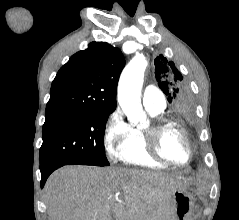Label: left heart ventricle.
<instances>
[{
  "label": "left heart ventricle",
  "instance_id": "b2bd125f",
  "mask_svg": "<svg viewBox=\"0 0 239 220\" xmlns=\"http://www.w3.org/2000/svg\"><path fill=\"white\" fill-rule=\"evenodd\" d=\"M162 153L172 161L183 162L187 158V147L175 128L165 130L160 139Z\"/></svg>",
  "mask_w": 239,
  "mask_h": 220
}]
</instances>
